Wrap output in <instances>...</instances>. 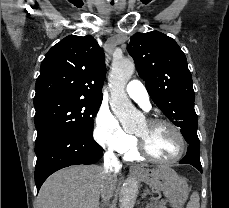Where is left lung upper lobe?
Wrapping results in <instances>:
<instances>
[{
  "label": "left lung upper lobe",
  "mask_w": 229,
  "mask_h": 208,
  "mask_svg": "<svg viewBox=\"0 0 229 208\" xmlns=\"http://www.w3.org/2000/svg\"><path fill=\"white\" fill-rule=\"evenodd\" d=\"M127 48L154 103L181 133L197 130L192 76L176 41L158 31L136 33Z\"/></svg>",
  "instance_id": "obj_1"
}]
</instances>
